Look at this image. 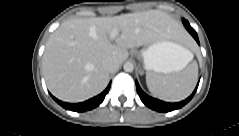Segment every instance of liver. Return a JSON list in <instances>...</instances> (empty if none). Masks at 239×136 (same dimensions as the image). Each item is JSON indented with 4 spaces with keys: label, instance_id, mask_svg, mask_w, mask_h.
<instances>
[{
    "label": "liver",
    "instance_id": "6515ba94",
    "mask_svg": "<svg viewBox=\"0 0 239 136\" xmlns=\"http://www.w3.org/2000/svg\"><path fill=\"white\" fill-rule=\"evenodd\" d=\"M112 30L120 33L113 43ZM182 36L181 24L159 10L70 19L48 39L42 62L44 78L58 99L82 102L106 88L110 72L103 68L104 60L116 59L121 64L128 58L130 48Z\"/></svg>",
    "mask_w": 239,
    "mask_h": 136
}]
</instances>
